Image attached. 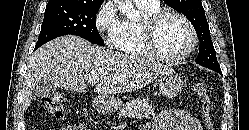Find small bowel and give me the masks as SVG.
Masks as SVG:
<instances>
[{
	"label": "small bowel",
	"mask_w": 249,
	"mask_h": 130,
	"mask_svg": "<svg viewBox=\"0 0 249 130\" xmlns=\"http://www.w3.org/2000/svg\"><path fill=\"white\" fill-rule=\"evenodd\" d=\"M59 130H88L81 124H68ZM142 130H202L199 121L184 110H167L159 113L154 121L143 126Z\"/></svg>",
	"instance_id": "c3829d8e"
}]
</instances>
